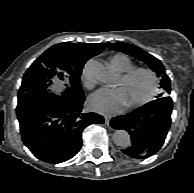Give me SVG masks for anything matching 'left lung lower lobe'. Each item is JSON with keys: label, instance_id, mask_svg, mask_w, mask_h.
<instances>
[{"label": "left lung lower lobe", "instance_id": "0a47b994", "mask_svg": "<svg viewBox=\"0 0 194 193\" xmlns=\"http://www.w3.org/2000/svg\"><path fill=\"white\" fill-rule=\"evenodd\" d=\"M172 99L158 98L126 115L112 118L114 129L126 130L132 139L123 152L133 158L143 159L156 153L164 143L171 125Z\"/></svg>", "mask_w": 194, "mask_h": 193}]
</instances>
